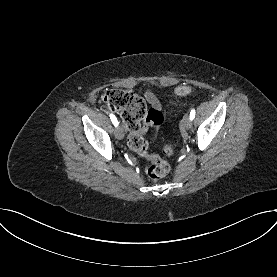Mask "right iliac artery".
<instances>
[{"label": "right iliac artery", "mask_w": 277, "mask_h": 277, "mask_svg": "<svg viewBox=\"0 0 277 277\" xmlns=\"http://www.w3.org/2000/svg\"><path fill=\"white\" fill-rule=\"evenodd\" d=\"M110 119L115 126L118 125L117 118L113 114H110Z\"/></svg>", "instance_id": "obj_1"}]
</instances>
